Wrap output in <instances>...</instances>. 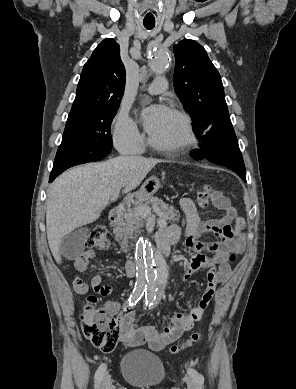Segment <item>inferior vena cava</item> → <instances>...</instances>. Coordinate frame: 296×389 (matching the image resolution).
I'll return each instance as SVG.
<instances>
[{"label":"inferior vena cava","mask_w":296,"mask_h":389,"mask_svg":"<svg viewBox=\"0 0 296 389\" xmlns=\"http://www.w3.org/2000/svg\"><path fill=\"white\" fill-rule=\"evenodd\" d=\"M141 150L138 146H134L132 151H131V154L133 155H136V154H140Z\"/></svg>","instance_id":"602c4592"}]
</instances>
